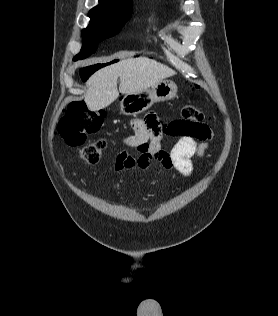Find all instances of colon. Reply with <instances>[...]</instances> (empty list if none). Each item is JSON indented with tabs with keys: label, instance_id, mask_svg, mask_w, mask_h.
Here are the masks:
<instances>
[{
	"label": "colon",
	"instance_id": "obj_1",
	"mask_svg": "<svg viewBox=\"0 0 278 316\" xmlns=\"http://www.w3.org/2000/svg\"><path fill=\"white\" fill-rule=\"evenodd\" d=\"M182 120L171 124L172 135L199 136L206 126L209 115L193 105L186 104L181 110ZM105 115L100 111H90L84 101H73L58 124V134L70 147L81 148V157L88 163H96L105 149L104 140L85 144L89 134L97 132L102 126Z\"/></svg>",
	"mask_w": 278,
	"mask_h": 316
}]
</instances>
